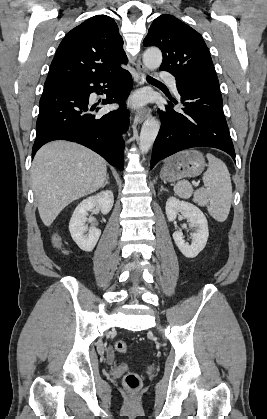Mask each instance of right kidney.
I'll return each mask as SVG.
<instances>
[{
  "mask_svg": "<svg viewBox=\"0 0 267 419\" xmlns=\"http://www.w3.org/2000/svg\"><path fill=\"white\" fill-rule=\"evenodd\" d=\"M114 196L111 190H106L98 193L95 196H90L84 199L76 207L70 219L69 230L72 239L79 246L80 249L86 252H91L101 235V230L91 227L88 234L85 222L87 220L88 211L94 207H98L102 214L106 215L113 207Z\"/></svg>",
  "mask_w": 267,
  "mask_h": 419,
  "instance_id": "1",
  "label": "right kidney"
}]
</instances>
